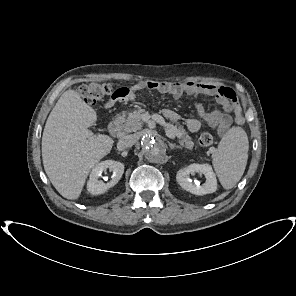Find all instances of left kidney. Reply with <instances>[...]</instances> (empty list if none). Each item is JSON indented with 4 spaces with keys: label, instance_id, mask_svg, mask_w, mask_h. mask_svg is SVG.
Here are the masks:
<instances>
[{
    "label": "left kidney",
    "instance_id": "obj_1",
    "mask_svg": "<svg viewBox=\"0 0 296 296\" xmlns=\"http://www.w3.org/2000/svg\"><path fill=\"white\" fill-rule=\"evenodd\" d=\"M195 173L203 174L205 183L200 185L198 182H192L190 174ZM176 180L182 188L195 195L209 194L217 190L216 176L209 164H190L177 172Z\"/></svg>",
    "mask_w": 296,
    "mask_h": 296
}]
</instances>
